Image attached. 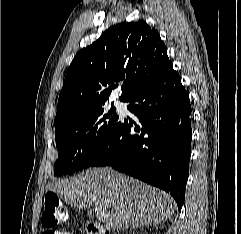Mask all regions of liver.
Returning <instances> with one entry per match:
<instances>
[{
    "label": "liver",
    "mask_w": 241,
    "mask_h": 234,
    "mask_svg": "<svg viewBox=\"0 0 241 234\" xmlns=\"http://www.w3.org/2000/svg\"><path fill=\"white\" fill-rule=\"evenodd\" d=\"M48 189L74 208L95 206L108 231L157 225L170 219L176 208L166 192L110 167L89 168L69 180L49 183Z\"/></svg>",
    "instance_id": "liver-1"
}]
</instances>
